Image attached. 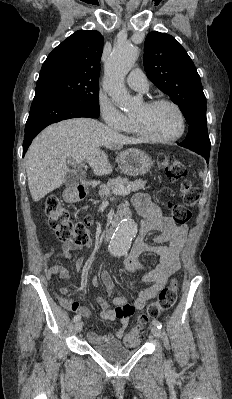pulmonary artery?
Instances as JSON below:
<instances>
[{
	"instance_id": "1",
	"label": "pulmonary artery",
	"mask_w": 232,
	"mask_h": 399,
	"mask_svg": "<svg viewBox=\"0 0 232 399\" xmlns=\"http://www.w3.org/2000/svg\"><path fill=\"white\" fill-rule=\"evenodd\" d=\"M131 77L129 78V88L137 90L138 96H149L150 91L141 84H146V73H141L140 69H131Z\"/></svg>"
}]
</instances>
